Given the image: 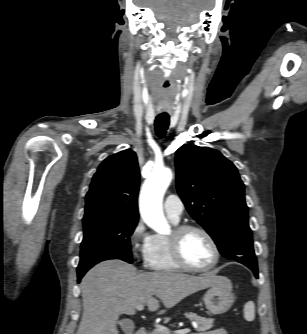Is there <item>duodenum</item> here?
<instances>
[{"label": "duodenum", "mask_w": 307, "mask_h": 334, "mask_svg": "<svg viewBox=\"0 0 307 334\" xmlns=\"http://www.w3.org/2000/svg\"><path fill=\"white\" fill-rule=\"evenodd\" d=\"M135 334H147V330L145 327H139Z\"/></svg>", "instance_id": "obj_1"}]
</instances>
